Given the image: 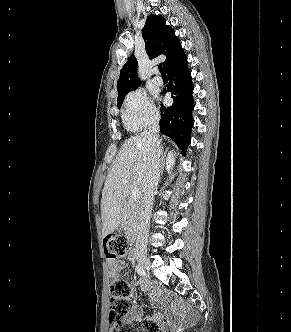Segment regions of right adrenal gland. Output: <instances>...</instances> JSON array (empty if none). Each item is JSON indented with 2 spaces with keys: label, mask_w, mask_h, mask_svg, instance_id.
Returning a JSON list of instances; mask_svg holds the SVG:
<instances>
[{
  "label": "right adrenal gland",
  "mask_w": 291,
  "mask_h": 332,
  "mask_svg": "<svg viewBox=\"0 0 291 332\" xmlns=\"http://www.w3.org/2000/svg\"><path fill=\"white\" fill-rule=\"evenodd\" d=\"M161 155H162V160H161V174H162L163 169H164V165H165V160H164V156H163V148H161Z\"/></svg>",
  "instance_id": "right-adrenal-gland-1"
}]
</instances>
